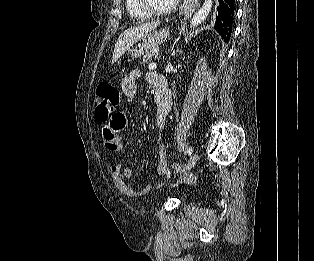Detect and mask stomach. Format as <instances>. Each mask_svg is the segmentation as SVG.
I'll return each mask as SVG.
<instances>
[{
    "label": "stomach",
    "instance_id": "stomach-1",
    "mask_svg": "<svg viewBox=\"0 0 314 261\" xmlns=\"http://www.w3.org/2000/svg\"><path fill=\"white\" fill-rule=\"evenodd\" d=\"M168 36V31L163 29L160 31H152L142 38V40L133 46L129 50L130 57L132 59L139 58L145 55L147 52L154 48H158V46L163 43Z\"/></svg>",
    "mask_w": 314,
    "mask_h": 261
}]
</instances>
